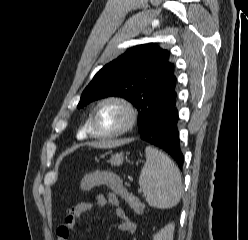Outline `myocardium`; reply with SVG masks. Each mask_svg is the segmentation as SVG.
Wrapping results in <instances>:
<instances>
[{
	"mask_svg": "<svg viewBox=\"0 0 248 240\" xmlns=\"http://www.w3.org/2000/svg\"><path fill=\"white\" fill-rule=\"evenodd\" d=\"M110 104L117 105L123 109V111L126 114V121L119 129H117L114 132L105 133V134L98 133L95 129L96 114L102 106L110 105ZM136 119H137V110L131 101H129L125 97L118 96V95L106 96L97 102V104L95 105V107L93 108L90 114L89 134L95 138L112 139L122 134H125L126 132L131 130L136 122Z\"/></svg>",
	"mask_w": 248,
	"mask_h": 240,
	"instance_id": "f54148a6",
	"label": "myocardium"
}]
</instances>
